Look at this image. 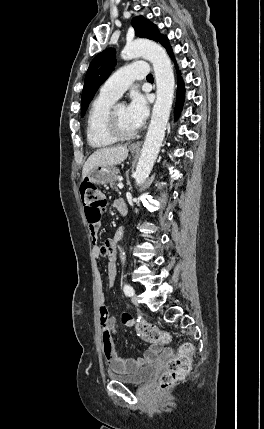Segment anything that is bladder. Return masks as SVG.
I'll return each mask as SVG.
<instances>
[{
	"instance_id": "31cf9c89",
	"label": "bladder",
	"mask_w": 264,
	"mask_h": 429,
	"mask_svg": "<svg viewBox=\"0 0 264 429\" xmlns=\"http://www.w3.org/2000/svg\"><path fill=\"white\" fill-rule=\"evenodd\" d=\"M156 373L154 365L145 366L129 373L109 372L108 377L124 384L139 386L148 382Z\"/></svg>"
}]
</instances>
